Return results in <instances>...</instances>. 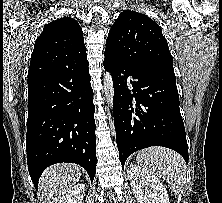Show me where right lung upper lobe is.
<instances>
[{"mask_svg":"<svg viewBox=\"0 0 222 203\" xmlns=\"http://www.w3.org/2000/svg\"><path fill=\"white\" fill-rule=\"evenodd\" d=\"M88 65L83 33L78 22L63 17L47 24L34 44L28 79L48 72Z\"/></svg>","mask_w":222,"mask_h":203,"instance_id":"1","label":"right lung upper lobe"}]
</instances>
